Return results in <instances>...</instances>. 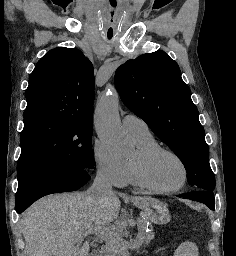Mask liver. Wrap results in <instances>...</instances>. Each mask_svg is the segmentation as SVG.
Wrapping results in <instances>:
<instances>
[{
    "mask_svg": "<svg viewBox=\"0 0 236 256\" xmlns=\"http://www.w3.org/2000/svg\"><path fill=\"white\" fill-rule=\"evenodd\" d=\"M120 200H96L89 192L50 194L32 204L21 220L27 256H90L88 234H96L120 214Z\"/></svg>",
    "mask_w": 236,
    "mask_h": 256,
    "instance_id": "6515ba94",
    "label": "liver"
}]
</instances>
